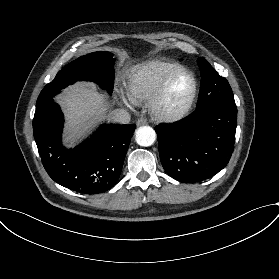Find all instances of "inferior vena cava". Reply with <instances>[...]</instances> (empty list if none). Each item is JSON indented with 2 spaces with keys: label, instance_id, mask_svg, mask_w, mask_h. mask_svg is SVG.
<instances>
[{
  "label": "inferior vena cava",
  "instance_id": "1",
  "mask_svg": "<svg viewBox=\"0 0 279 279\" xmlns=\"http://www.w3.org/2000/svg\"><path fill=\"white\" fill-rule=\"evenodd\" d=\"M109 119L113 123L128 124L131 116L125 109H114L110 112Z\"/></svg>",
  "mask_w": 279,
  "mask_h": 279
}]
</instances>
